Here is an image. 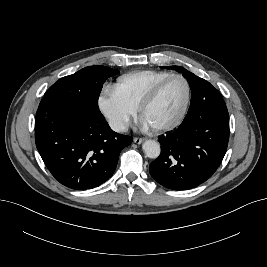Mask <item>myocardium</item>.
<instances>
[{
    "label": "myocardium",
    "mask_w": 267,
    "mask_h": 267,
    "mask_svg": "<svg viewBox=\"0 0 267 267\" xmlns=\"http://www.w3.org/2000/svg\"><path fill=\"white\" fill-rule=\"evenodd\" d=\"M178 78L183 81L186 89V95H185V100L183 107L177 117L172 120L169 123L163 124V125H158V126H151V128L155 132H167L175 129L178 127L183 119L185 118V115L188 111L189 104H190V99H191V86L189 81L187 80L186 77H184L181 74H170L167 77L163 78L159 82H157L152 89L149 91V93L145 96V98L141 101L139 107H138V112L139 115L143 118L144 111L156 100L158 97L160 91L162 90L163 86L170 81L171 79Z\"/></svg>",
    "instance_id": "obj_1"
}]
</instances>
